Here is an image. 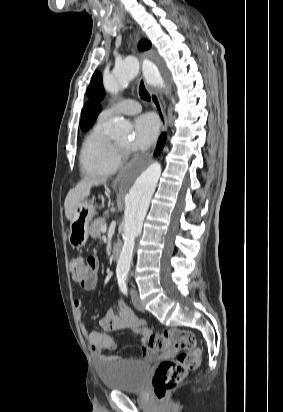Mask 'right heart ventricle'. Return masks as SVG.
I'll return each instance as SVG.
<instances>
[{
    "instance_id": "e07e8e85",
    "label": "right heart ventricle",
    "mask_w": 283,
    "mask_h": 412,
    "mask_svg": "<svg viewBox=\"0 0 283 412\" xmlns=\"http://www.w3.org/2000/svg\"><path fill=\"white\" fill-rule=\"evenodd\" d=\"M104 126L105 121L99 119L82 144L79 163L85 176H109L121 165L114 142L107 137Z\"/></svg>"
}]
</instances>
